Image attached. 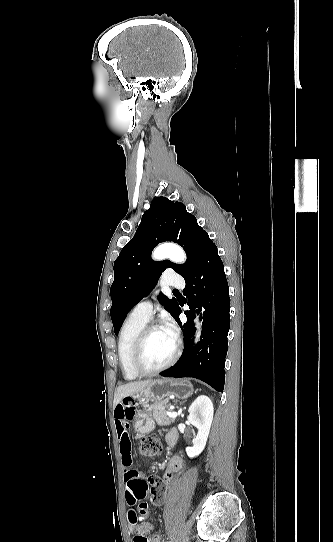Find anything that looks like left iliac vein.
<instances>
[{"label": "left iliac vein", "mask_w": 333, "mask_h": 542, "mask_svg": "<svg viewBox=\"0 0 333 542\" xmlns=\"http://www.w3.org/2000/svg\"><path fill=\"white\" fill-rule=\"evenodd\" d=\"M183 542H188V540H183Z\"/></svg>", "instance_id": "obj_1"}]
</instances>
